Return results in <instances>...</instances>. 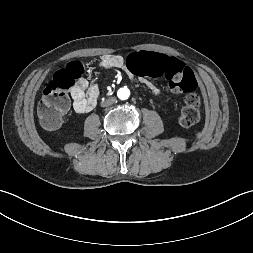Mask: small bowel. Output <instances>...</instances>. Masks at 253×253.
Wrapping results in <instances>:
<instances>
[{
  "mask_svg": "<svg viewBox=\"0 0 253 253\" xmlns=\"http://www.w3.org/2000/svg\"><path fill=\"white\" fill-rule=\"evenodd\" d=\"M127 57L125 59L123 56L118 54H105L101 56L97 63V67L102 69H124L130 78H133L135 75L139 76L141 82L145 84L152 93L158 94V87L148 80L147 76L137 75L128 68ZM71 97L73 100L74 110L78 113H87L90 112L97 104L99 98V88L96 85L89 87L88 81L85 78H80L71 90Z\"/></svg>",
  "mask_w": 253,
  "mask_h": 253,
  "instance_id": "1",
  "label": "small bowel"
}]
</instances>
